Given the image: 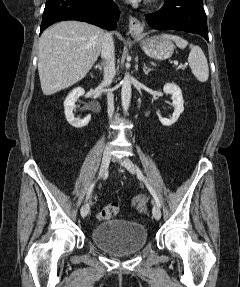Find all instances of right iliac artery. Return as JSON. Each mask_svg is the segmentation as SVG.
<instances>
[{
  "instance_id": "obj_1",
  "label": "right iliac artery",
  "mask_w": 240,
  "mask_h": 287,
  "mask_svg": "<svg viewBox=\"0 0 240 287\" xmlns=\"http://www.w3.org/2000/svg\"><path fill=\"white\" fill-rule=\"evenodd\" d=\"M95 186V181L91 184V186L89 187L88 189V192H87V196H86V201L88 200V198L90 197L92 191H93V188Z\"/></svg>"
}]
</instances>
